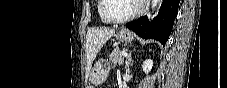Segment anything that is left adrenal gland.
Returning <instances> with one entry per match:
<instances>
[{
  "label": "left adrenal gland",
  "mask_w": 227,
  "mask_h": 88,
  "mask_svg": "<svg viewBox=\"0 0 227 88\" xmlns=\"http://www.w3.org/2000/svg\"><path fill=\"white\" fill-rule=\"evenodd\" d=\"M131 62H132V53L130 51L127 58H126V61H125V69L126 70L129 69V65L131 64Z\"/></svg>",
  "instance_id": "left-adrenal-gland-1"
}]
</instances>
